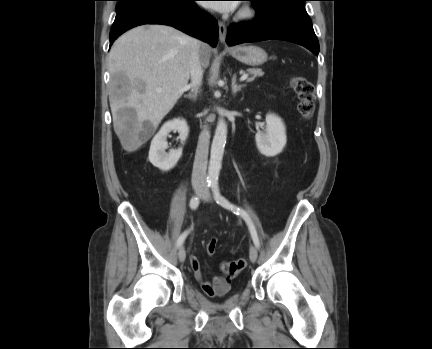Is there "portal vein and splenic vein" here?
<instances>
[{"label":"portal vein and splenic vein","mask_w":432,"mask_h":349,"mask_svg":"<svg viewBox=\"0 0 432 349\" xmlns=\"http://www.w3.org/2000/svg\"><path fill=\"white\" fill-rule=\"evenodd\" d=\"M247 78H248V74H243V75L240 77V81H245Z\"/></svg>","instance_id":"18ae733b"}]
</instances>
